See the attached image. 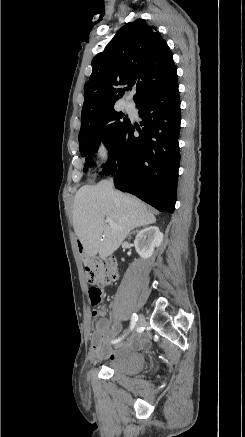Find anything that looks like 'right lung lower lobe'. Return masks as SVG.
Instances as JSON below:
<instances>
[{
  "instance_id": "98d812e1",
  "label": "right lung lower lobe",
  "mask_w": 245,
  "mask_h": 437,
  "mask_svg": "<svg viewBox=\"0 0 245 437\" xmlns=\"http://www.w3.org/2000/svg\"><path fill=\"white\" fill-rule=\"evenodd\" d=\"M143 132L132 121L112 150L104 175L116 173L117 189L136 195L159 211L173 213L180 162L178 85L135 102Z\"/></svg>"
}]
</instances>
